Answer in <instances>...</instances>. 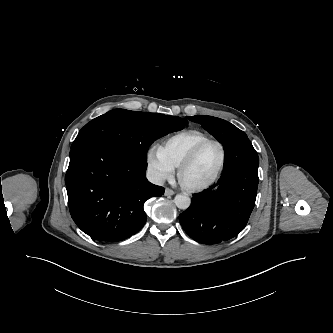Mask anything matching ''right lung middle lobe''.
<instances>
[{
	"mask_svg": "<svg viewBox=\"0 0 333 333\" xmlns=\"http://www.w3.org/2000/svg\"><path fill=\"white\" fill-rule=\"evenodd\" d=\"M186 124L187 121L175 116L115 109L87 123L72 146L86 141L97 142L147 164L148 147L161 136L183 129Z\"/></svg>",
	"mask_w": 333,
	"mask_h": 333,
	"instance_id": "dd1d6c3e",
	"label": "right lung middle lobe"
}]
</instances>
